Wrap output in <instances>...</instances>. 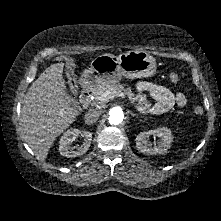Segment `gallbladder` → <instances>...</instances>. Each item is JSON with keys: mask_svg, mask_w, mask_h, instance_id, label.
Wrapping results in <instances>:
<instances>
[{"mask_svg": "<svg viewBox=\"0 0 221 221\" xmlns=\"http://www.w3.org/2000/svg\"><path fill=\"white\" fill-rule=\"evenodd\" d=\"M70 103H71L72 105H76V104H77L76 101L73 100V99H71V98H70Z\"/></svg>", "mask_w": 221, "mask_h": 221, "instance_id": "bac80fb5", "label": "gallbladder"}]
</instances>
